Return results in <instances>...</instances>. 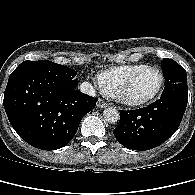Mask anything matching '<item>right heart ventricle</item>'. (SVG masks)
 Returning <instances> with one entry per match:
<instances>
[{
  "label": "right heart ventricle",
  "instance_id": "e07e8e85",
  "mask_svg": "<svg viewBox=\"0 0 195 195\" xmlns=\"http://www.w3.org/2000/svg\"><path fill=\"white\" fill-rule=\"evenodd\" d=\"M143 64L123 65L103 71L98 79L106 94L116 97L127 78Z\"/></svg>",
  "mask_w": 195,
  "mask_h": 195
}]
</instances>
